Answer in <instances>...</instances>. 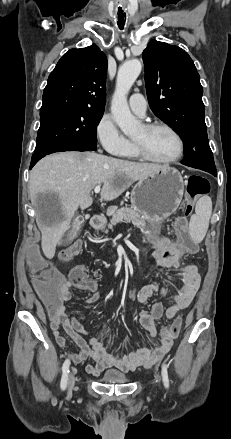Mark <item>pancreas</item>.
<instances>
[{
	"label": "pancreas",
	"mask_w": 231,
	"mask_h": 439,
	"mask_svg": "<svg viewBox=\"0 0 231 439\" xmlns=\"http://www.w3.org/2000/svg\"><path fill=\"white\" fill-rule=\"evenodd\" d=\"M132 222L135 226L139 228H146L147 226V217L140 214L138 211L128 207H122L120 209L115 210L112 213V217L110 219V223L108 224V229L113 230V226L117 225L120 222ZM105 232H108L106 230Z\"/></svg>",
	"instance_id": "pancreas-1"
}]
</instances>
